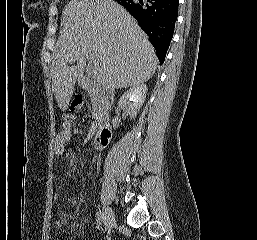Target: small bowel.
Listing matches in <instances>:
<instances>
[{"mask_svg": "<svg viewBox=\"0 0 257 240\" xmlns=\"http://www.w3.org/2000/svg\"><path fill=\"white\" fill-rule=\"evenodd\" d=\"M72 132L69 125H65L61 129L55 139V151L59 156H63L65 153V145L71 139Z\"/></svg>", "mask_w": 257, "mask_h": 240, "instance_id": "small-bowel-1", "label": "small bowel"}]
</instances>
